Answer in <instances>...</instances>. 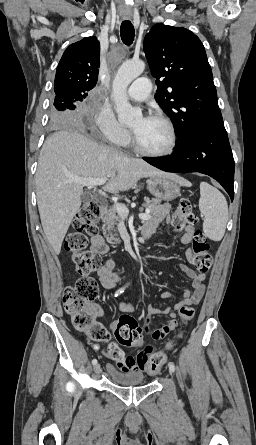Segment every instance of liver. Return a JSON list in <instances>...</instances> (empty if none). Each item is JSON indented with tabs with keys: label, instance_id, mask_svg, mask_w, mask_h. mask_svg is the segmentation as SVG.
I'll list each match as a JSON object with an SVG mask.
<instances>
[{
	"label": "liver",
	"instance_id": "6515ba94",
	"mask_svg": "<svg viewBox=\"0 0 256 445\" xmlns=\"http://www.w3.org/2000/svg\"><path fill=\"white\" fill-rule=\"evenodd\" d=\"M176 175L160 171L141 159L100 145L73 130H61L49 136L40 152L36 172L37 204L47 241L59 254L67 230L81 206L83 185L71 177L102 178L112 193L132 188L141 178Z\"/></svg>",
	"mask_w": 256,
	"mask_h": 445
}]
</instances>
